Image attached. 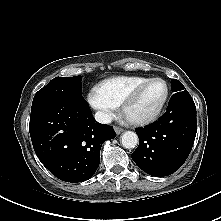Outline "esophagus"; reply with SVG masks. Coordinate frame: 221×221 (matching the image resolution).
<instances>
[{
  "label": "esophagus",
  "instance_id": "esophagus-1",
  "mask_svg": "<svg viewBox=\"0 0 221 221\" xmlns=\"http://www.w3.org/2000/svg\"><path fill=\"white\" fill-rule=\"evenodd\" d=\"M114 131H115V133H116L117 135H119V134L122 133L124 130H123L122 128H120V127L115 126V127H114Z\"/></svg>",
  "mask_w": 221,
  "mask_h": 221
}]
</instances>
